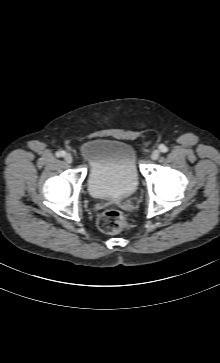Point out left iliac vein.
Here are the masks:
<instances>
[{"instance_id":"obj_1","label":"left iliac vein","mask_w":220,"mask_h":363,"mask_svg":"<svg viewBox=\"0 0 220 363\" xmlns=\"http://www.w3.org/2000/svg\"><path fill=\"white\" fill-rule=\"evenodd\" d=\"M159 156H160L159 150L152 151V153H151V159L152 160H157L159 158Z\"/></svg>"}]
</instances>
